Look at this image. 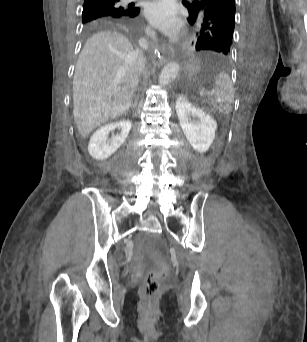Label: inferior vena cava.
I'll list each match as a JSON object with an SVG mask.
<instances>
[{
	"instance_id": "602c4592",
	"label": "inferior vena cava",
	"mask_w": 307,
	"mask_h": 342,
	"mask_svg": "<svg viewBox=\"0 0 307 342\" xmlns=\"http://www.w3.org/2000/svg\"><path fill=\"white\" fill-rule=\"evenodd\" d=\"M147 36H154V32H152V30H147L146 32ZM139 46H141V48H143V50H147L148 48V42L147 40H144V38H141V40H139ZM136 58H137V66H138V70L139 72H142L143 68H145V64H146V60L145 58H143L141 52H139V50H137V52H134Z\"/></svg>"
}]
</instances>
